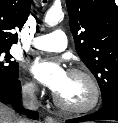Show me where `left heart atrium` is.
I'll use <instances>...</instances> for the list:
<instances>
[{"mask_svg":"<svg viewBox=\"0 0 118 123\" xmlns=\"http://www.w3.org/2000/svg\"><path fill=\"white\" fill-rule=\"evenodd\" d=\"M30 71L40 83L55 93L64 86L68 76L57 59L36 60L30 65Z\"/></svg>","mask_w":118,"mask_h":123,"instance_id":"obj_1","label":"left heart atrium"}]
</instances>
